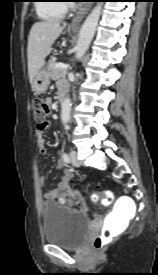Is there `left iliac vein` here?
I'll return each mask as SVG.
<instances>
[{
	"label": "left iliac vein",
	"mask_w": 158,
	"mask_h": 275,
	"mask_svg": "<svg viewBox=\"0 0 158 275\" xmlns=\"http://www.w3.org/2000/svg\"><path fill=\"white\" fill-rule=\"evenodd\" d=\"M70 159H71V164L75 167H79L81 165L80 161L77 159V152L76 151H71L70 152Z\"/></svg>",
	"instance_id": "1"
}]
</instances>
